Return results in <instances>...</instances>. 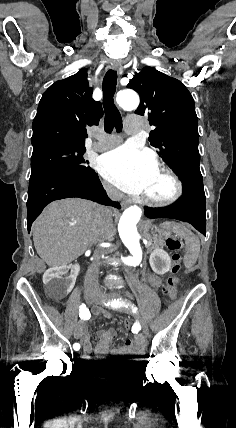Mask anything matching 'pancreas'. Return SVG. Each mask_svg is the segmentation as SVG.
Masks as SVG:
<instances>
[{
    "label": "pancreas",
    "instance_id": "cf45deb5",
    "mask_svg": "<svg viewBox=\"0 0 236 428\" xmlns=\"http://www.w3.org/2000/svg\"><path fill=\"white\" fill-rule=\"evenodd\" d=\"M153 240L154 242H156V240H161V242H164L163 238H159V236H155V234H153ZM155 248V246H154Z\"/></svg>",
    "mask_w": 236,
    "mask_h": 428
}]
</instances>
